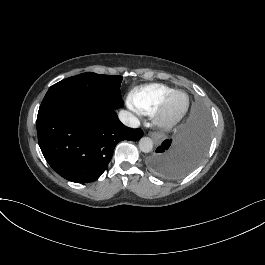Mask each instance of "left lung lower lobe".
Here are the masks:
<instances>
[{
  "mask_svg": "<svg viewBox=\"0 0 265 265\" xmlns=\"http://www.w3.org/2000/svg\"><path fill=\"white\" fill-rule=\"evenodd\" d=\"M210 140V121L205 107L196 104L173 138L164 140L147 158L151 172L164 178H180L204 158Z\"/></svg>",
  "mask_w": 265,
  "mask_h": 265,
  "instance_id": "0a47b994",
  "label": "left lung lower lobe"
}]
</instances>
